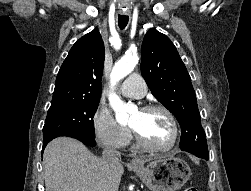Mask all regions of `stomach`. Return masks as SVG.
I'll use <instances>...</instances> for the list:
<instances>
[{"label":"stomach","instance_id":"obj_1","mask_svg":"<svg viewBox=\"0 0 251 191\" xmlns=\"http://www.w3.org/2000/svg\"><path fill=\"white\" fill-rule=\"evenodd\" d=\"M148 165L143 163L147 159H142L140 167H132L142 179L143 183L152 191H177L180 189L191 175V169L184 159L174 157V155H156L150 157Z\"/></svg>","mask_w":251,"mask_h":191}]
</instances>
